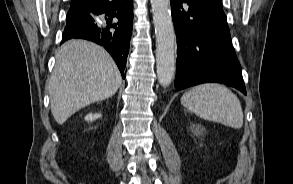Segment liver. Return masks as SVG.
<instances>
[{
    "instance_id": "6515ba94",
    "label": "liver",
    "mask_w": 293,
    "mask_h": 184,
    "mask_svg": "<svg viewBox=\"0 0 293 184\" xmlns=\"http://www.w3.org/2000/svg\"><path fill=\"white\" fill-rule=\"evenodd\" d=\"M121 83V74L104 48L86 40L65 42L56 53L49 81L55 121L62 125L80 109L112 97Z\"/></svg>"
}]
</instances>
